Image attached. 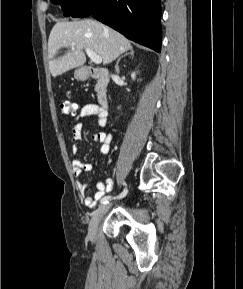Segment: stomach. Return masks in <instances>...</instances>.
<instances>
[{"instance_id": "1", "label": "stomach", "mask_w": 243, "mask_h": 289, "mask_svg": "<svg viewBox=\"0 0 243 289\" xmlns=\"http://www.w3.org/2000/svg\"><path fill=\"white\" fill-rule=\"evenodd\" d=\"M74 75H75V78L79 80H85L87 78V74L82 69H77Z\"/></svg>"}]
</instances>
